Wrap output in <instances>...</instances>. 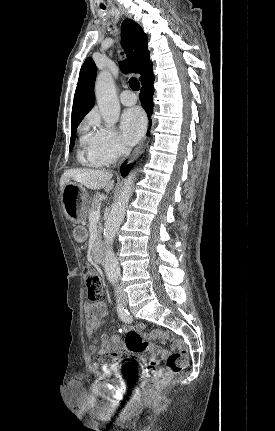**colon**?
<instances>
[{"mask_svg":"<svg viewBox=\"0 0 275 431\" xmlns=\"http://www.w3.org/2000/svg\"><path fill=\"white\" fill-rule=\"evenodd\" d=\"M84 278L88 297L91 300L100 298L103 292V282L98 270L85 267ZM149 339L169 341L178 348V351L167 355L165 350L149 342ZM125 345L132 353L153 351L161 353L162 356H167L166 368H158L157 361L153 359H151L146 366V374L150 377V381L146 386V391L149 394L161 390L168 383L173 374L181 372L188 364L186 344L181 339L161 330H154L145 334H141L136 330H131L125 336ZM107 360L106 356L101 357V361L106 362Z\"/></svg>","mask_w":275,"mask_h":431,"instance_id":"obj_1","label":"colon"}]
</instances>
